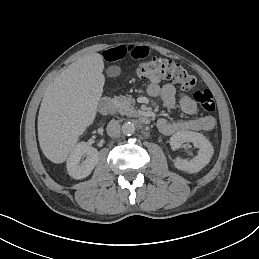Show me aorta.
I'll use <instances>...</instances> for the list:
<instances>
[{
  "label": "aorta",
  "mask_w": 259,
  "mask_h": 259,
  "mask_svg": "<svg viewBox=\"0 0 259 259\" xmlns=\"http://www.w3.org/2000/svg\"><path fill=\"white\" fill-rule=\"evenodd\" d=\"M122 133L124 135H127V136H130L132 134L135 133V126L133 123L131 122H125L123 125H122Z\"/></svg>",
  "instance_id": "1"
}]
</instances>
